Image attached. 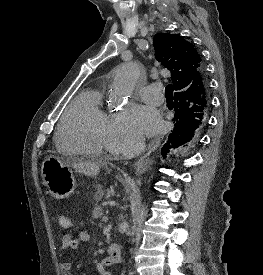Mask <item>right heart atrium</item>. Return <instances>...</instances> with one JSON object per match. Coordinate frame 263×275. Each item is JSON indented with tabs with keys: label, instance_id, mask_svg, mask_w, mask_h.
<instances>
[{
	"label": "right heart atrium",
	"instance_id": "right-heart-atrium-1",
	"mask_svg": "<svg viewBox=\"0 0 263 275\" xmlns=\"http://www.w3.org/2000/svg\"><path fill=\"white\" fill-rule=\"evenodd\" d=\"M140 143L141 138L129 128L125 113H117L110 117L106 130V145L110 151H128Z\"/></svg>",
	"mask_w": 263,
	"mask_h": 275
}]
</instances>
